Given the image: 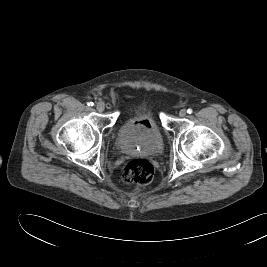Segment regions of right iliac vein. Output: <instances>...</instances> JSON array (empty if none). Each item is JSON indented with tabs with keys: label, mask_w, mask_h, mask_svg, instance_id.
I'll list each match as a JSON object with an SVG mask.
<instances>
[{
	"label": "right iliac vein",
	"mask_w": 267,
	"mask_h": 267,
	"mask_svg": "<svg viewBox=\"0 0 267 267\" xmlns=\"http://www.w3.org/2000/svg\"><path fill=\"white\" fill-rule=\"evenodd\" d=\"M96 109H97L98 112H103L104 109H105V105H104V103H103V102H98V103L96 104Z\"/></svg>",
	"instance_id": "obj_1"
}]
</instances>
